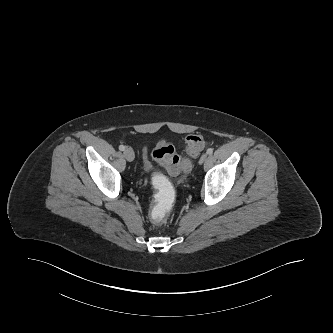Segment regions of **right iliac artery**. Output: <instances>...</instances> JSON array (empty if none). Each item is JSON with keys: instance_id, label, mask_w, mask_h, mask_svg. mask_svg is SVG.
Returning <instances> with one entry per match:
<instances>
[{"instance_id": "right-iliac-artery-1", "label": "right iliac artery", "mask_w": 333, "mask_h": 333, "mask_svg": "<svg viewBox=\"0 0 333 333\" xmlns=\"http://www.w3.org/2000/svg\"><path fill=\"white\" fill-rule=\"evenodd\" d=\"M119 150L124 151L125 150V146L124 145H120L119 146Z\"/></svg>"}]
</instances>
